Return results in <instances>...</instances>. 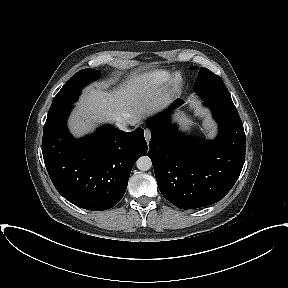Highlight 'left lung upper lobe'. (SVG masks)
<instances>
[{
    "label": "left lung upper lobe",
    "instance_id": "1",
    "mask_svg": "<svg viewBox=\"0 0 288 288\" xmlns=\"http://www.w3.org/2000/svg\"><path fill=\"white\" fill-rule=\"evenodd\" d=\"M190 69H195V67H190ZM194 89L206 101L217 102L235 108L222 79L204 67L199 70Z\"/></svg>",
    "mask_w": 288,
    "mask_h": 288
}]
</instances>
